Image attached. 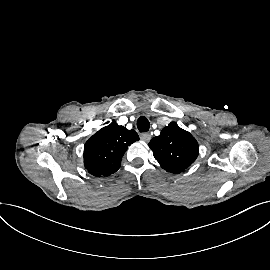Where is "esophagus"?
Instances as JSON below:
<instances>
[{"label":"esophagus","mask_w":270,"mask_h":270,"mask_svg":"<svg viewBox=\"0 0 270 270\" xmlns=\"http://www.w3.org/2000/svg\"><path fill=\"white\" fill-rule=\"evenodd\" d=\"M140 139L144 142H149L151 139V135L149 133L140 134Z\"/></svg>","instance_id":"34e87169"}]
</instances>
